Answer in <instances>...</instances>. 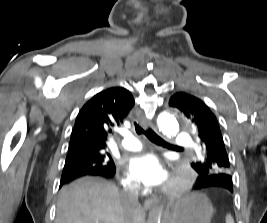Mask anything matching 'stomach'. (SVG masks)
I'll return each instance as SVG.
<instances>
[{
	"instance_id": "stomach-1",
	"label": "stomach",
	"mask_w": 267,
	"mask_h": 223,
	"mask_svg": "<svg viewBox=\"0 0 267 223\" xmlns=\"http://www.w3.org/2000/svg\"><path fill=\"white\" fill-rule=\"evenodd\" d=\"M213 206L205 194L194 192L176 199L166 223H210Z\"/></svg>"
}]
</instances>
